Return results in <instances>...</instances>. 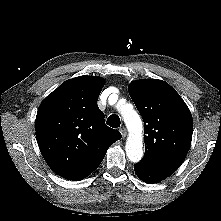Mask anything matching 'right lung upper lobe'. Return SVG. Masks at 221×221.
<instances>
[{"instance_id":"obj_1","label":"right lung upper lobe","mask_w":221,"mask_h":221,"mask_svg":"<svg viewBox=\"0 0 221 221\" xmlns=\"http://www.w3.org/2000/svg\"><path fill=\"white\" fill-rule=\"evenodd\" d=\"M104 79L81 76L63 82L37 111L35 130L49 167L78 181L90 175L121 133L105 125L97 106Z\"/></svg>"}]
</instances>
